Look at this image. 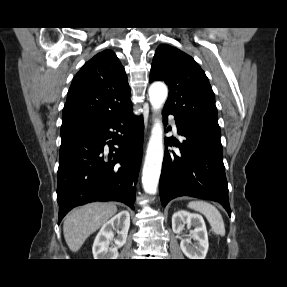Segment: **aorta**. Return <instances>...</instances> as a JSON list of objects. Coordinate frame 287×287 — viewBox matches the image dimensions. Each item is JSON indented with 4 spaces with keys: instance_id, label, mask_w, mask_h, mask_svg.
Here are the masks:
<instances>
[{
    "instance_id": "1",
    "label": "aorta",
    "mask_w": 287,
    "mask_h": 287,
    "mask_svg": "<svg viewBox=\"0 0 287 287\" xmlns=\"http://www.w3.org/2000/svg\"><path fill=\"white\" fill-rule=\"evenodd\" d=\"M153 110L160 111L167 99L168 89L161 82L153 83L148 90ZM163 125L155 120L149 139L142 171V184L146 193L156 194L163 161Z\"/></svg>"
}]
</instances>
